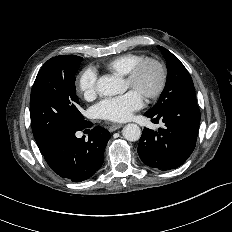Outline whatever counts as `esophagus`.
<instances>
[{"label": "esophagus", "instance_id": "obj_1", "mask_svg": "<svg viewBox=\"0 0 232 232\" xmlns=\"http://www.w3.org/2000/svg\"><path fill=\"white\" fill-rule=\"evenodd\" d=\"M122 127V124H114V125H111L110 127H109V131L110 132H114V131H116L117 129H119V128H121Z\"/></svg>", "mask_w": 232, "mask_h": 232}]
</instances>
